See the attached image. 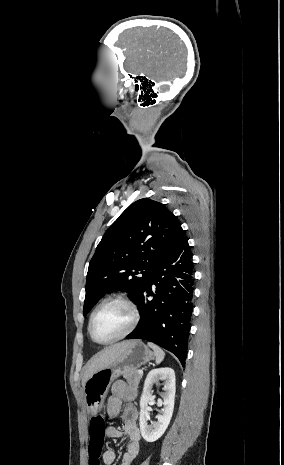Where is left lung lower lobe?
<instances>
[{
	"instance_id": "1",
	"label": "left lung lower lobe",
	"mask_w": 284,
	"mask_h": 465,
	"mask_svg": "<svg viewBox=\"0 0 284 465\" xmlns=\"http://www.w3.org/2000/svg\"><path fill=\"white\" fill-rule=\"evenodd\" d=\"M194 297L192 254L180 228L170 249L147 278L139 304L141 320L127 339H145L172 352L185 366Z\"/></svg>"
}]
</instances>
